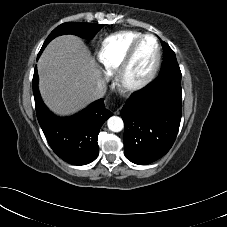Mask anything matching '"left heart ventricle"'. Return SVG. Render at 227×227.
Instances as JSON below:
<instances>
[{
    "mask_svg": "<svg viewBox=\"0 0 227 227\" xmlns=\"http://www.w3.org/2000/svg\"><path fill=\"white\" fill-rule=\"evenodd\" d=\"M156 46L152 38H147L142 42L134 58L130 76L140 78L144 76L152 67L155 60Z\"/></svg>",
    "mask_w": 227,
    "mask_h": 227,
    "instance_id": "1",
    "label": "left heart ventricle"
}]
</instances>
